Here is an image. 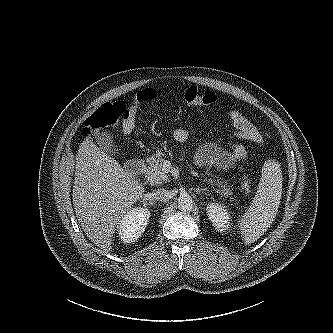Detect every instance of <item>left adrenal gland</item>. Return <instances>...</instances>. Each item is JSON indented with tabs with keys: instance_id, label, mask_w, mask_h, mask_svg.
Instances as JSON below:
<instances>
[{
	"instance_id": "left-adrenal-gland-1",
	"label": "left adrenal gland",
	"mask_w": 333,
	"mask_h": 333,
	"mask_svg": "<svg viewBox=\"0 0 333 333\" xmlns=\"http://www.w3.org/2000/svg\"><path fill=\"white\" fill-rule=\"evenodd\" d=\"M194 191L196 192V194H200L201 192L203 193V192H205V193H207V188H196V189H194Z\"/></svg>"
}]
</instances>
